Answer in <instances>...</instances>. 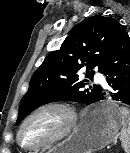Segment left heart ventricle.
<instances>
[{
    "mask_svg": "<svg viewBox=\"0 0 130 153\" xmlns=\"http://www.w3.org/2000/svg\"><path fill=\"white\" fill-rule=\"evenodd\" d=\"M65 116L58 110H45L34 116L22 132V142L37 145L57 135L65 125Z\"/></svg>",
    "mask_w": 130,
    "mask_h": 153,
    "instance_id": "b2bd125f",
    "label": "left heart ventricle"
}]
</instances>
